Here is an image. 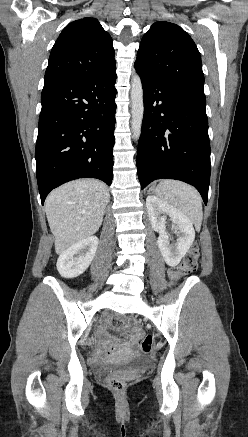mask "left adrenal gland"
<instances>
[{"label": "left adrenal gland", "instance_id": "1", "mask_svg": "<svg viewBox=\"0 0 248 437\" xmlns=\"http://www.w3.org/2000/svg\"><path fill=\"white\" fill-rule=\"evenodd\" d=\"M153 190V188H151L148 192H150V191H152Z\"/></svg>", "mask_w": 248, "mask_h": 437}]
</instances>
